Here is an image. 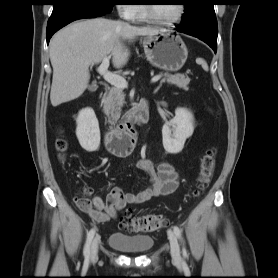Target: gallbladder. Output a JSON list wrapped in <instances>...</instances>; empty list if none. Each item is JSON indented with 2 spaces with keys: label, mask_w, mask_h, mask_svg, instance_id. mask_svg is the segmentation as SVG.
Returning a JSON list of instances; mask_svg holds the SVG:
<instances>
[{
  "label": "gallbladder",
  "mask_w": 278,
  "mask_h": 278,
  "mask_svg": "<svg viewBox=\"0 0 278 278\" xmlns=\"http://www.w3.org/2000/svg\"><path fill=\"white\" fill-rule=\"evenodd\" d=\"M94 88H95V86L94 85H91V86H89V90H94Z\"/></svg>",
  "instance_id": "1"
}]
</instances>
